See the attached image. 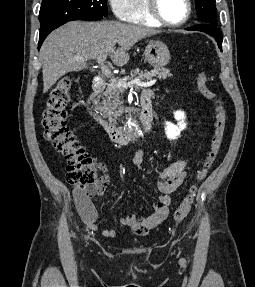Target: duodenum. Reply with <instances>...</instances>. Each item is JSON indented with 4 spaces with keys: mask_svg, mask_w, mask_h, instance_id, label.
Returning <instances> with one entry per match:
<instances>
[{
    "mask_svg": "<svg viewBox=\"0 0 255 287\" xmlns=\"http://www.w3.org/2000/svg\"><path fill=\"white\" fill-rule=\"evenodd\" d=\"M107 86V82L104 79H96L93 84V92L89 96L86 109L89 116L101 125L106 133L108 134L110 140L117 145H123L128 143L132 136L129 131L124 127H117L105 119H103L97 111L96 105L98 102V98L101 93L105 90ZM140 104H141V117L139 121L140 128L143 132H146L150 129L153 121V111L151 106V93L148 91H144L140 96Z\"/></svg>",
    "mask_w": 255,
    "mask_h": 287,
    "instance_id": "1",
    "label": "duodenum"
}]
</instances>
